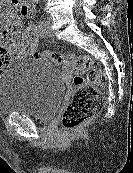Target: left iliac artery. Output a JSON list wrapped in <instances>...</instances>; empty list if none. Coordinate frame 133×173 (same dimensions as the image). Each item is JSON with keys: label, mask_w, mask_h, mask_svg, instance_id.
<instances>
[{"label": "left iliac artery", "mask_w": 133, "mask_h": 173, "mask_svg": "<svg viewBox=\"0 0 133 173\" xmlns=\"http://www.w3.org/2000/svg\"><path fill=\"white\" fill-rule=\"evenodd\" d=\"M44 26H45V21L43 19H40L38 22V27H37V32L40 36H42Z\"/></svg>", "instance_id": "obj_1"}]
</instances>
